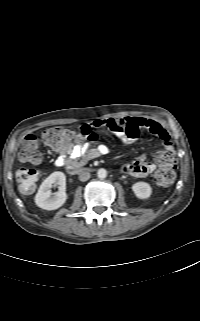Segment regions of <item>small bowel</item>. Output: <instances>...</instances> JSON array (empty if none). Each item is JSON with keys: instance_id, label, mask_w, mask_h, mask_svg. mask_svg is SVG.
Returning a JSON list of instances; mask_svg holds the SVG:
<instances>
[{"instance_id": "obj_1", "label": "small bowel", "mask_w": 200, "mask_h": 321, "mask_svg": "<svg viewBox=\"0 0 200 321\" xmlns=\"http://www.w3.org/2000/svg\"><path fill=\"white\" fill-rule=\"evenodd\" d=\"M105 128L114 133L125 143H134L139 137L141 129H146L151 134L157 136L165 151H173L172 140L169 133L162 125L152 119L144 117H119V118H104L97 119L86 123L81 127V135L87 132H93L95 129ZM109 147L105 144H99L91 147L88 142L70 143L60 151L58 158L55 161L57 167L65 166L67 170L83 165L86 162L108 154ZM164 151L156 154V158ZM155 169L154 162L148 160L145 154L122 165L121 170L127 175L134 177H145L151 174Z\"/></svg>"}]
</instances>
